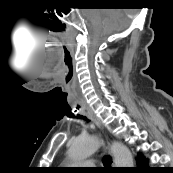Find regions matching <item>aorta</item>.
I'll use <instances>...</instances> for the list:
<instances>
[{"instance_id": "obj_1", "label": "aorta", "mask_w": 173, "mask_h": 173, "mask_svg": "<svg viewBox=\"0 0 173 173\" xmlns=\"http://www.w3.org/2000/svg\"><path fill=\"white\" fill-rule=\"evenodd\" d=\"M99 147L100 140L96 136L78 137L69 148V156L72 161H81L95 153ZM111 152L116 167H133V157L128 147L114 141L111 145Z\"/></svg>"}]
</instances>
